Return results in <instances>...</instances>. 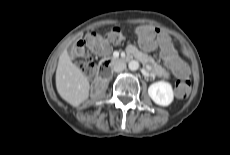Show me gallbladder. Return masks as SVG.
Instances as JSON below:
<instances>
[{"instance_id": "obj_1", "label": "gallbladder", "mask_w": 230, "mask_h": 155, "mask_svg": "<svg viewBox=\"0 0 230 155\" xmlns=\"http://www.w3.org/2000/svg\"><path fill=\"white\" fill-rule=\"evenodd\" d=\"M74 47H75V44H74V43L68 47V53H69V54H72V53H73Z\"/></svg>"}]
</instances>
